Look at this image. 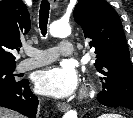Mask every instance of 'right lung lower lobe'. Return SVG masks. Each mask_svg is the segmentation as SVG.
<instances>
[{"label":"right lung lower lobe","mask_w":133,"mask_h":118,"mask_svg":"<svg viewBox=\"0 0 133 118\" xmlns=\"http://www.w3.org/2000/svg\"><path fill=\"white\" fill-rule=\"evenodd\" d=\"M0 106L15 110L29 118H35L38 98L31 92L29 81L0 86Z\"/></svg>","instance_id":"right-lung-lower-lobe-1"}]
</instances>
